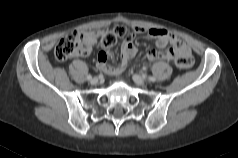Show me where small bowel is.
<instances>
[{"label":"small bowel","mask_w":238,"mask_h":158,"mask_svg":"<svg viewBox=\"0 0 238 158\" xmlns=\"http://www.w3.org/2000/svg\"><path fill=\"white\" fill-rule=\"evenodd\" d=\"M144 32L156 40L157 49H151L147 53V58L150 61L173 60L178 56L192 58L190 47L173 33L162 28L135 27L133 32L122 42L119 63L116 66L109 65L107 62L110 55L109 47H101L97 58V68L111 76L120 75L125 70L128 61L137 53L135 35ZM84 37L86 42L85 54H88L91 48L97 44V41L94 32H84Z\"/></svg>","instance_id":"c3829d8e"}]
</instances>
